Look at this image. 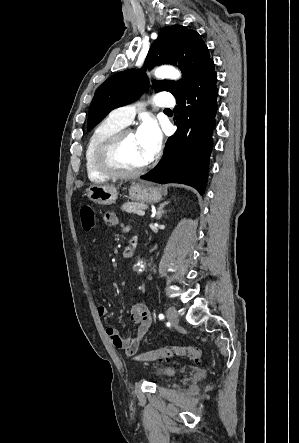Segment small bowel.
<instances>
[{"label":"small bowel","mask_w":299,"mask_h":443,"mask_svg":"<svg viewBox=\"0 0 299 443\" xmlns=\"http://www.w3.org/2000/svg\"><path fill=\"white\" fill-rule=\"evenodd\" d=\"M103 219L109 226H117L119 224L118 217L114 213H106ZM97 313L100 317H104L107 315L108 310L106 306L100 304L97 306ZM130 316L137 326L136 333L132 338L120 335L118 330L113 327L106 329V334L112 345L123 350L127 356H132L137 352L152 322L150 311L144 300L133 305Z\"/></svg>","instance_id":"c3829d8e"}]
</instances>
